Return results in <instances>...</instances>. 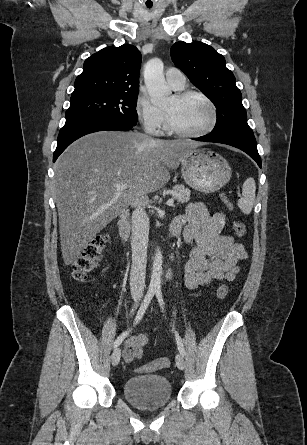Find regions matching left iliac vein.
Returning <instances> with one entry per match:
<instances>
[{
    "label": "left iliac vein",
    "mask_w": 307,
    "mask_h": 445,
    "mask_svg": "<svg viewBox=\"0 0 307 445\" xmlns=\"http://www.w3.org/2000/svg\"><path fill=\"white\" fill-rule=\"evenodd\" d=\"M176 365L180 370H183L185 368V360L182 354L176 355Z\"/></svg>",
    "instance_id": "obj_1"
}]
</instances>
